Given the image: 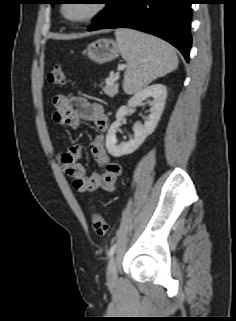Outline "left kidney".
Wrapping results in <instances>:
<instances>
[{"mask_svg":"<svg viewBox=\"0 0 236 321\" xmlns=\"http://www.w3.org/2000/svg\"><path fill=\"white\" fill-rule=\"evenodd\" d=\"M153 98L150 114L143 125H134V137L128 142L117 144L116 132L121 126V121L127 115L129 107H135L148 98ZM167 97L166 86L154 84L136 93L128 101L127 106H122L116 113V121L112 123L106 135V148L114 157L128 155L134 152L150 135L157 126L161 114L164 110L165 100Z\"/></svg>","mask_w":236,"mask_h":321,"instance_id":"5707ae66","label":"left kidney"}]
</instances>
